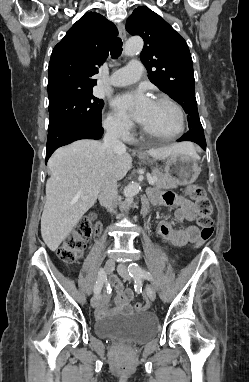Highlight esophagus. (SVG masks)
Returning a JSON list of instances; mask_svg holds the SVG:
<instances>
[{"label": "esophagus", "mask_w": 249, "mask_h": 382, "mask_svg": "<svg viewBox=\"0 0 249 382\" xmlns=\"http://www.w3.org/2000/svg\"><path fill=\"white\" fill-rule=\"evenodd\" d=\"M117 28H118V32H119V36L122 38V39H125L126 38V32H125V27L122 23H119L117 25Z\"/></svg>", "instance_id": "obj_1"}]
</instances>
